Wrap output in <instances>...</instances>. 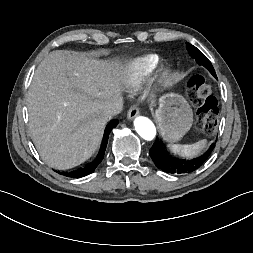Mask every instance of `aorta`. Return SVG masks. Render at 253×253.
<instances>
[{
	"instance_id": "1",
	"label": "aorta",
	"mask_w": 253,
	"mask_h": 253,
	"mask_svg": "<svg viewBox=\"0 0 253 253\" xmlns=\"http://www.w3.org/2000/svg\"><path fill=\"white\" fill-rule=\"evenodd\" d=\"M134 126L140 137L146 141H153L157 136V130L154 123L147 117H136L134 120Z\"/></svg>"
}]
</instances>
